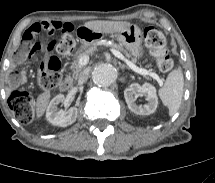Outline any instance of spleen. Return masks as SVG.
<instances>
[{
  "label": "spleen",
  "instance_id": "obj_1",
  "mask_svg": "<svg viewBox=\"0 0 215 183\" xmlns=\"http://www.w3.org/2000/svg\"><path fill=\"white\" fill-rule=\"evenodd\" d=\"M184 78L181 68L170 72L164 86L159 89L158 94L163 104L169 109V115H174L182 101Z\"/></svg>",
  "mask_w": 215,
  "mask_h": 183
}]
</instances>
